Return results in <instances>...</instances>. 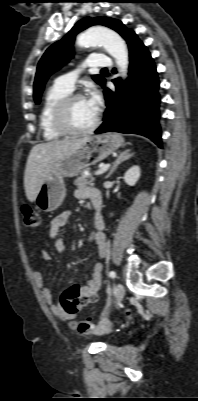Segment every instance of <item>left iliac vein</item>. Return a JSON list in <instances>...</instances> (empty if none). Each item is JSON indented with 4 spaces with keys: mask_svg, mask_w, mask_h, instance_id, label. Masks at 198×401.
Masks as SVG:
<instances>
[{
    "mask_svg": "<svg viewBox=\"0 0 198 401\" xmlns=\"http://www.w3.org/2000/svg\"><path fill=\"white\" fill-rule=\"evenodd\" d=\"M124 294H125L124 286L122 284H118L117 288H116V296H117L116 303L117 304L122 301Z\"/></svg>",
    "mask_w": 198,
    "mask_h": 401,
    "instance_id": "1",
    "label": "left iliac vein"
}]
</instances>
